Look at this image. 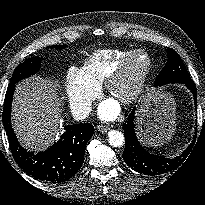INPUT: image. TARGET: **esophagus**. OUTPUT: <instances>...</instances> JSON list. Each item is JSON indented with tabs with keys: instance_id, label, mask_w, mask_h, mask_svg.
<instances>
[{
	"instance_id": "1",
	"label": "esophagus",
	"mask_w": 205,
	"mask_h": 205,
	"mask_svg": "<svg viewBox=\"0 0 205 205\" xmlns=\"http://www.w3.org/2000/svg\"><path fill=\"white\" fill-rule=\"evenodd\" d=\"M98 130H99L101 133H107V132L109 131V127L99 126V127H98Z\"/></svg>"
}]
</instances>
